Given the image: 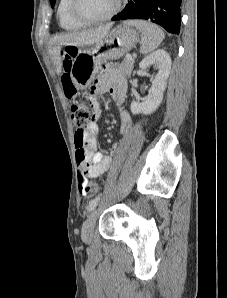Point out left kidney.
Listing matches in <instances>:
<instances>
[{
	"instance_id": "obj_1",
	"label": "left kidney",
	"mask_w": 227,
	"mask_h": 298,
	"mask_svg": "<svg viewBox=\"0 0 227 298\" xmlns=\"http://www.w3.org/2000/svg\"><path fill=\"white\" fill-rule=\"evenodd\" d=\"M153 65L158 71L152 80V86L147 97L142 102L132 101L130 109L133 114H151L161 104L166 88L167 78L171 69V58L163 49H158L146 56L139 64L145 70Z\"/></svg>"
}]
</instances>
